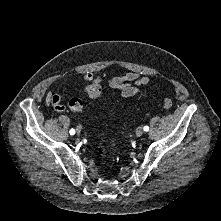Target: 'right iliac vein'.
I'll return each instance as SVG.
<instances>
[{
    "label": "right iliac vein",
    "mask_w": 221,
    "mask_h": 221,
    "mask_svg": "<svg viewBox=\"0 0 221 221\" xmlns=\"http://www.w3.org/2000/svg\"><path fill=\"white\" fill-rule=\"evenodd\" d=\"M76 133H77L78 135L81 134V128H80V127H77V128H76Z\"/></svg>",
    "instance_id": "1"
}]
</instances>
